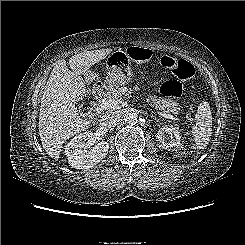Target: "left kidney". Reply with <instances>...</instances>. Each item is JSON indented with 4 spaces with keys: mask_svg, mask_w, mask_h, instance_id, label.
Here are the masks:
<instances>
[{
    "mask_svg": "<svg viewBox=\"0 0 245 245\" xmlns=\"http://www.w3.org/2000/svg\"><path fill=\"white\" fill-rule=\"evenodd\" d=\"M157 139L165 148H172L174 146H181L180 132L177 127H161L157 133Z\"/></svg>",
    "mask_w": 245,
    "mask_h": 245,
    "instance_id": "1",
    "label": "left kidney"
}]
</instances>
